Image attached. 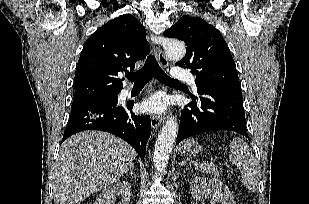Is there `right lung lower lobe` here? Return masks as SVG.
Returning a JSON list of instances; mask_svg holds the SVG:
<instances>
[{
    "mask_svg": "<svg viewBox=\"0 0 309 204\" xmlns=\"http://www.w3.org/2000/svg\"><path fill=\"white\" fill-rule=\"evenodd\" d=\"M117 100L73 107L62 142L83 130L107 131L128 142L144 160L146 143L151 134L150 117L135 115L132 112L134 103L117 106Z\"/></svg>",
    "mask_w": 309,
    "mask_h": 204,
    "instance_id": "right-lung-lower-lobe-1",
    "label": "right lung lower lobe"
}]
</instances>
